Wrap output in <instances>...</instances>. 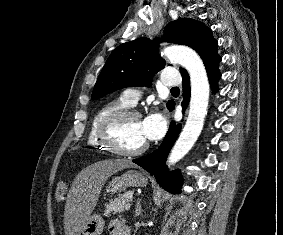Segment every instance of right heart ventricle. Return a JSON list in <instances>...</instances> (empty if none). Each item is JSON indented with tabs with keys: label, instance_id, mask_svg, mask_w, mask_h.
Wrapping results in <instances>:
<instances>
[{
	"label": "right heart ventricle",
	"instance_id": "obj_1",
	"mask_svg": "<svg viewBox=\"0 0 283 235\" xmlns=\"http://www.w3.org/2000/svg\"><path fill=\"white\" fill-rule=\"evenodd\" d=\"M129 104L124 99L118 98L105 102L102 104L92 116L87 132V145L92 149H103V145L98 138V128L102 120L109 114L124 108H128Z\"/></svg>",
	"mask_w": 283,
	"mask_h": 235
}]
</instances>
